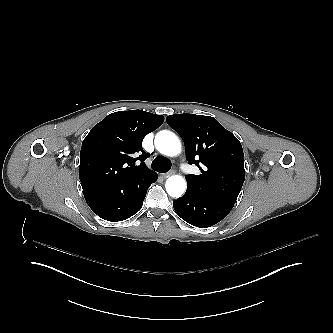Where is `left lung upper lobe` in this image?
Masks as SVG:
<instances>
[{"label": "left lung upper lobe", "mask_w": 333, "mask_h": 333, "mask_svg": "<svg viewBox=\"0 0 333 333\" xmlns=\"http://www.w3.org/2000/svg\"><path fill=\"white\" fill-rule=\"evenodd\" d=\"M166 121L182 137L189 164L206 167L200 175L186 176L187 191L235 204L245 179L239 140L210 116L175 114Z\"/></svg>", "instance_id": "obj_1"}]
</instances>
